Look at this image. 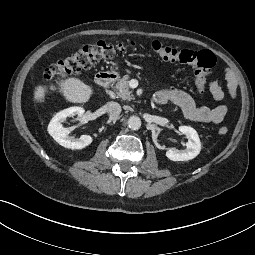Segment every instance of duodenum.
I'll list each match as a JSON object with an SVG mask.
<instances>
[{
    "instance_id": "410a0bca",
    "label": "duodenum",
    "mask_w": 255,
    "mask_h": 255,
    "mask_svg": "<svg viewBox=\"0 0 255 255\" xmlns=\"http://www.w3.org/2000/svg\"><path fill=\"white\" fill-rule=\"evenodd\" d=\"M117 78V74L113 71H99L96 74V83L102 88H108ZM152 104H156L152 99Z\"/></svg>"
}]
</instances>
